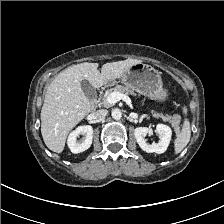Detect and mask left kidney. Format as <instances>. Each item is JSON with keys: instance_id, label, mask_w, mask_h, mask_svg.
Here are the masks:
<instances>
[{"instance_id": "1", "label": "left kidney", "mask_w": 224, "mask_h": 224, "mask_svg": "<svg viewBox=\"0 0 224 224\" xmlns=\"http://www.w3.org/2000/svg\"><path fill=\"white\" fill-rule=\"evenodd\" d=\"M155 131L160 136V140L158 143L149 144L146 142V135L151 133V130L147 127H137L134 130V135L138 145L142 150L148 153L161 154L164 153L169 146L172 136V130L167 125L158 124Z\"/></svg>"}]
</instances>
